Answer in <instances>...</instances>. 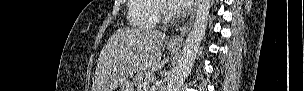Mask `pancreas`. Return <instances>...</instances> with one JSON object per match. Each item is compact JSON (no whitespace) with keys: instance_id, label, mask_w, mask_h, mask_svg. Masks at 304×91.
<instances>
[{"instance_id":"1","label":"pancreas","mask_w":304,"mask_h":91,"mask_svg":"<svg viewBox=\"0 0 304 91\" xmlns=\"http://www.w3.org/2000/svg\"><path fill=\"white\" fill-rule=\"evenodd\" d=\"M154 77V74L152 72H142L137 74L134 78V84L137 88V90H143V86L145 83L149 84Z\"/></svg>"}]
</instances>
